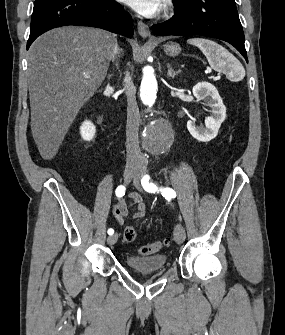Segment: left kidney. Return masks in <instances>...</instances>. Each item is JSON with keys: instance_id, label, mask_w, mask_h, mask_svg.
I'll return each instance as SVG.
<instances>
[{"instance_id": "left-kidney-1", "label": "left kidney", "mask_w": 285, "mask_h": 335, "mask_svg": "<svg viewBox=\"0 0 285 335\" xmlns=\"http://www.w3.org/2000/svg\"><path fill=\"white\" fill-rule=\"evenodd\" d=\"M193 96L197 100H204L208 98V106H210L212 116H208L205 120L206 128H197L194 122H187L188 132H190L193 138H196L198 142H210L213 138H216L218 130L226 118V108L216 90L215 86L209 84V82H199L194 86Z\"/></svg>"}]
</instances>
